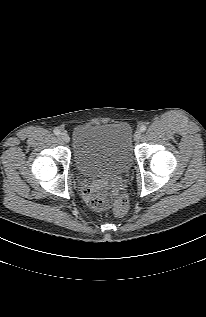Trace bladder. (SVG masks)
I'll list each match as a JSON object with an SVG mask.
<instances>
[{"label": "bladder", "mask_w": 206, "mask_h": 317, "mask_svg": "<svg viewBox=\"0 0 206 317\" xmlns=\"http://www.w3.org/2000/svg\"><path fill=\"white\" fill-rule=\"evenodd\" d=\"M128 123L81 124L73 132V162L80 175L101 179L127 173L133 163Z\"/></svg>", "instance_id": "bladder-1"}]
</instances>
